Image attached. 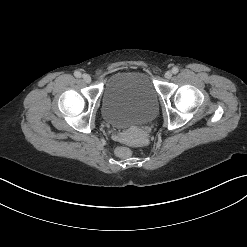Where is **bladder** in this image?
Segmentation results:
<instances>
[{
    "label": "bladder",
    "instance_id": "bladder-1",
    "mask_svg": "<svg viewBox=\"0 0 247 247\" xmlns=\"http://www.w3.org/2000/svg\"><path fill=\"white\" fill-rule=\"evenodd\" d=\"M102 117L117 129L149 124L158 112V92L150 77L140 71L119 72L105 82Z\"/></svg>",
    "mask_w": 247,
    "mask_h": 247
}]
</instances>
